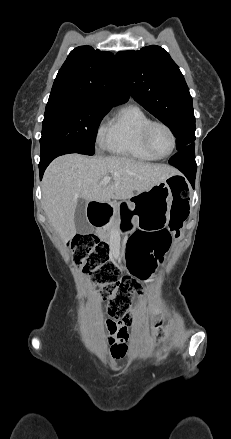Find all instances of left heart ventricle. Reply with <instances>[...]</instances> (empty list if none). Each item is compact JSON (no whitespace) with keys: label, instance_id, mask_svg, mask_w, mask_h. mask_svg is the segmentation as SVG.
<instances>
[{"label":"left heart ventricle","instance_id":"left-heart-ventricle-1","mask_svg":"<svg viewBox=\"0 0 231 439\" xmlns=\"http://www.w3.org/2000/svg\"><path fill=\"white\" fill-rule=\"evenodd\" d=\"M151 143L157 154L164 155L171 149L172 141L169 133L163 127L157 126L152 130Z\"/></svg>","mask_w":231,"mask_h":439}]
</instances>
